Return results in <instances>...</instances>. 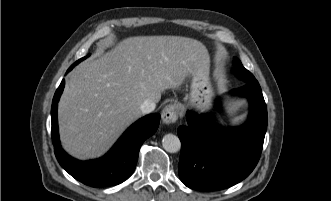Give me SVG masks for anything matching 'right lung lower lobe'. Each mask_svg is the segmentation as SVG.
Here are the masks:
<instances>
[{
  "label": "right lung lower lobe",
  "mask_w": 331,
  "mask_h": 201,
  "mask_svg": "<svg viewBox=\"0 0 331 201\" xmlns=\"http://www.w3.org/2000/svg\"><path fill=\"white\" fill-rule=\"evenodd\" d=\"M71 69L69 68L68 71ZM64 85L65 81L62 80L54 95L51 108V134L58 162L72 177L91 187H105L124 182L136 167L141 145L157 130L160 115L150 114L135 122L102 158L86 162L78 161L64 152L59 141L57 106Z\"/></svg>",
  "instance_id": "obj_1"
}]
</instances>
